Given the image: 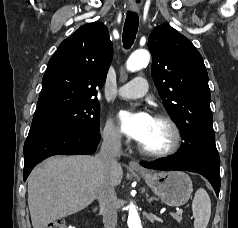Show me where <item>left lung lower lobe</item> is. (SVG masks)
I'll use <instances>...</instances> for the list:
<instances>
[{"mask_svg":"<svg viewBox=\"0 0 238 228\" xmlns=\"http://www.w3.org/2000/svg\"><path fill=\"white\" fill-rule=\"evenodd\" d=\"M140 164L154 170H181L199 173L211 183L216 195H219L220 158L216 148L205 150L184 161L177 155H171L154 162H141Z\"/></svg>","mask_w":238,"mask_h":228,"instance_id":"left-lung-lower-lobe-1","label":"left lung lower lobe"}]
</instances>
